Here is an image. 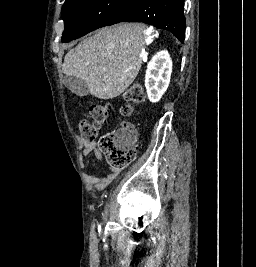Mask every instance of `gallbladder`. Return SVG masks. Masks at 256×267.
<instances>
[{"label": "gallbladder", "instance_id": "obj_1", "mask_svg": "<svg viewBox=\"0 0 256 267\" xmlns=\"http://www.w3.org/2000/svg\"><path fill=\"white\" fill-rule=\"evenodd\" d=\"M65 88H68L70 92L76 94V96H88L89 88L83 80H79L76 76H64L62 80Z\"/></svg>", "mask_w": 256, "mask_h": 267}]
</instances>
